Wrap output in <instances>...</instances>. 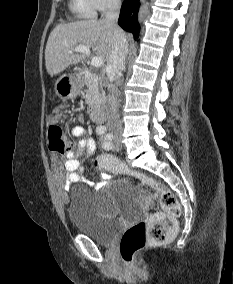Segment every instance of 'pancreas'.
<instances>
[{
  "label": "pancreas",
  "mask_w": 233,
  "mask_h": 284,
  "mask_svg": "<svg viewBox=\"0 0 233 284\" xmlns=\"http://www.w3.org/2000/svg\"><path fill=\"white\" fill-rule=\"evenodd\" d=\"M98 78L95 74H89L86 79V103L90 107H99L105 101V92L98 86Z\"/></svg>",
  "instance_id": "obj_1"
}]
</instances>
